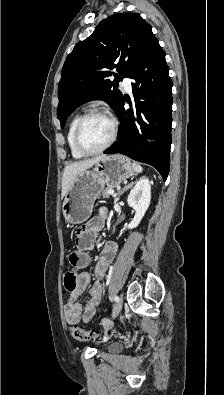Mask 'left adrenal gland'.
I'll use <instances>...</instances> for the list:
<instances>
[{"mask_svg": "<svg viewBox=\"0 0 224 395\" xmlns=\"http://www.w3.org/2000/svg\"><path fill=\"white\" fill-rule=\"evenodd\" d=\"M133 185V182L125 186L118 194V196L122 195L127 189H129Z\"/></svg>", "mask_w": 224, "mask_h": 395, "instance_id": "obj_1", "label": "left adrenal gland"}]
</instances>
